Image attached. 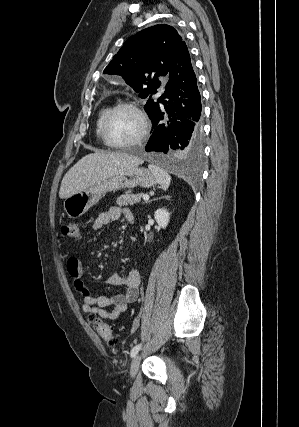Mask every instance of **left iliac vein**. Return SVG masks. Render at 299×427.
I'll use <instances>...</instances> for the list:
<instances>
[{
  "instance_id": "4c4485c4",
  "label": "left iliac vein",
  "mask_w": 299,
  "mask_h": 427,
  "mask_svg": "<svg viewBox=\"0 0 299 427\" xmlns=\"http://www.w3.org/2000/svg\"><path fill=\"white\" fill-rule=\"evenodd\" d=\"M140 361H141V355L140 354L135 355L130 366L131 377H134L137 374V371L140 366Z\"/></svg>"
}]
</instances>
